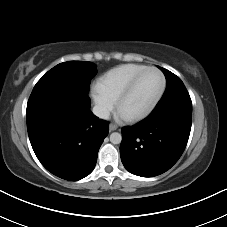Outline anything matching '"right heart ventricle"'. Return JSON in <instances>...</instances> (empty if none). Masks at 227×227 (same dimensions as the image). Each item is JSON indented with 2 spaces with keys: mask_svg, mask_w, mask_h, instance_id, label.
Wrapping results in <instances>:
<instances>
[{
  "mask_svg": "<svg viewBox=\"0 0 227 227\" xmlns=\"http://www.w3.org/2000/svg\"><path fill=\"white\" fill-rule=\"evenodd\" d=\"M145 67L146 65L134 63L114 67L100 78L98 86L114 100H117L131 79Z\"/></svg>",
  "mask_w": 227,
  "mask_h": 227,
  "instance_id": "1",
  "label": "right heart ventricle"
}]
</instances>
